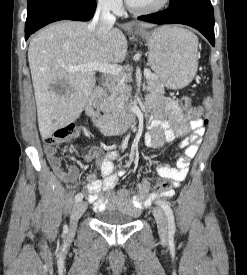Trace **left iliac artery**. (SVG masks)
<instances>
[{
	"label": "left iliac artery",
	"mask_w": 247,
	"mask_h": 275,
	"mask_svg": "<svg viewBox=\"0 0 247 275\" xmlns=\"http://www.w3.org/2000/svg\"><path fill=\"white\" fill-rule=\"evenodd\" d=\"M157 203L161 206V208L164 210L167 220H168V229H169V234L174 235L175 233V221H174V215L173 211L168 204V202L164 200H158Z\"/></svg>",
	"instance_id": "1"
}]
</instances>
